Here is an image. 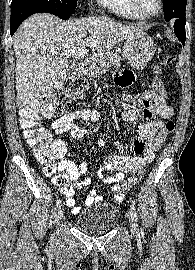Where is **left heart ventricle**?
I'll return each mask as SVG.
<instances>
[{"instance_id": "left-heart-ventricle-1", "label": "left heart ventricle", "mask_w": 195, "mask_h": 270, "mask_svg": "<svg viewBox=\"0 0 195 270\" xmlns=\"http://www.w3.org/2000/svg\"><path fill=\"white\" fill-rule=\"evenodd\" d=\"M141 7L146 12H154L158 7L157 0H139Z\"/></svg>"}]
</instances>
